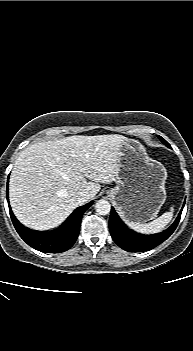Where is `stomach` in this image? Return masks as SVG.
I'll use <instances>...</instances> for the list:
<instances>
[{"mask_svg": "<svg viewBox=\"0 0 193 351\" xmlns=\"http://www.w3.org/2000/svg\"><path fill=\"white\" fill-rule=\"evenodd\" d=\"M119 152L116 186L106 193L125 220L150 221L166 200V168L150 158L145 147L136 140L126 138Z\"/></svg>", "mask_w": 193, "mask_h": 351, "instance_id": "stomach-1", "label": "stomach"}]
</instances>
